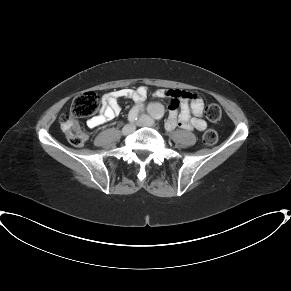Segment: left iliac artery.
Instances as JSON below:
<instances>
[{
    "label": "left iliac artery",
    "mask_w": 291,
    "mask_h": 291,
    "mask_svg": "<svg viewBox=\"0 0 291 291\" xmlns=\"http://www.w3.org/2000/svg\"><path fill=\"white\" fill-rule=\"evenodd\" d=\"M155 118H156V119H159L160 117L157 116V117H155Z\"/></svg>",
    "instance_id": "1"
}]
</instances>
